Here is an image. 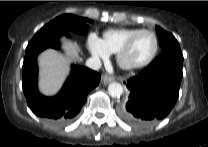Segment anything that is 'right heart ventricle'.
<instances>
[{"label":"right heart ventricle","mask_w":208,"mask_h":147,"mask_svg":"<svg viewBox=\"0 0 208 147\" xmlns=\"http://www.w3.org/2000/svg\"><path fill=\"white\" fill-rule=\"evenodd\" d=\"M139 28L123 27L108 29L103 33V42L109 53H117L123 44L136 32Z\"/></svg>","instance_id":"right-heart-ventricle-1"}]
</instances>
